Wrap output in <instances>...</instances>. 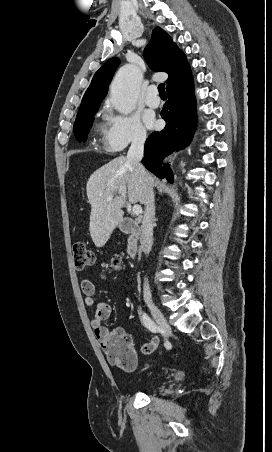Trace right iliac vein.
<instances>
[{"instance_id": "63e3f726", "label": "right iliac vein", "mask_w": 272, "mask_h": 452, "mask_svg": "<svg viewBox=\"0 0 272 452\" xmlns=\"http://www.w3.org/2000/svg\"><path fill=\"white\" fill-rule=\"evenodd\" d=\"M147 306L155 319V321L158 323V325L161 327V329L164 331L166 335H169L171 333V327L163 315V313L160 311V309L154 305L152 302H148Z\"/></svg>"}]
</instances>
